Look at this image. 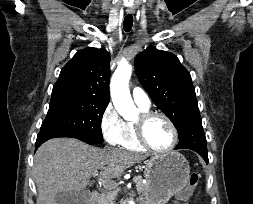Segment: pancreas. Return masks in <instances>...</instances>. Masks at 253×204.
Instances as JSON below:
<instances>
[{"label":"pancreas","mask_w":253,"mask_h":204,"mask_svg":"<svg viewBox=\"0 0 253 204\" xmlns=\"http://www.w3.org/2000/svg\"><path fill=\"white\" fill-rule=\"evenodd\" d=\"M139 177V176H138ZM136 189L138 193L145 194L149 191V186L142 182V178L139 177V180L136 182ZM119 189L115 184H112L109 187V190L100 197L98 204H115V198L118 194Z\"/></svg>","instance_id":"cf45deb5"}]
</instances>
